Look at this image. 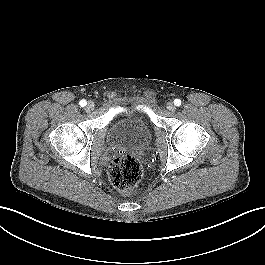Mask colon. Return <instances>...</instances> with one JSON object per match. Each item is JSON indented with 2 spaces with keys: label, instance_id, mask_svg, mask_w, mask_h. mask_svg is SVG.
Listing matches in <instances>:
<instances>
[{
  "label": "colon",
  "instance_id": "obj_1",
  "mask_svg": "<svg viewBox=\"0 0 265 265\" xmlns=\"http://www.w3.org/2000/svg\"><path fill=\"white\" fill-rule=\"evenodd\" d=\"M108 174L111 183L119 192L131 194L141 181L143 169L135 157L121 154L112 160Z\"/></svg>",
  "mask_w": 265,
  "mask_h": 265
}]
</instances>
